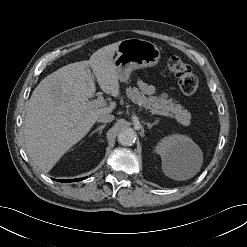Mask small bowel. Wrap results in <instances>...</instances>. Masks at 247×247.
I'll return each mask as SVG.
<instances>
[{"label": "small bowel", "instance_id": "small-bowel-1", "mask_svg": "<svg viewBox=\"0 0 247 247\" xmlns=\"http://www.w3.org/2000/svg\"><path fill=\"white\" fill-rule=\"evenodd\" d=\"M139 87L141 88V90L144 92V93H146V94H148V95H152V94H154V87L153 86H151V85H149V84H147V83H145V82H143V81H140L139 82Z\"/></svg>", "mask_w": 247, "mask_h": 247}]
</instances>
